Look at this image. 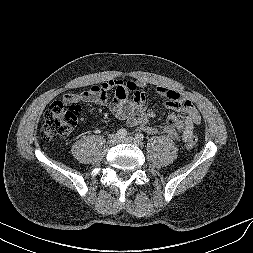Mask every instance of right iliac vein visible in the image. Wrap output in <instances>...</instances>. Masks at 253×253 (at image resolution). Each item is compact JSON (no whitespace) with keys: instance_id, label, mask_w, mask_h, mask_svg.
<instances>
[{"instance_id":"1","label":"right iliac vein","mask_w":253,"mask_h":253,"mask_svg":"<svg viewBox=\"0 0 253 253\" xmlns=\"http://www.w3.org/2000/svg\"><path fill=\"white\" fill-rule=\"evenodd\" d=\"M117 143H119V137L117 134H111L108 136V144L110 145H116Z\"/></svg>"}]
</instances>
